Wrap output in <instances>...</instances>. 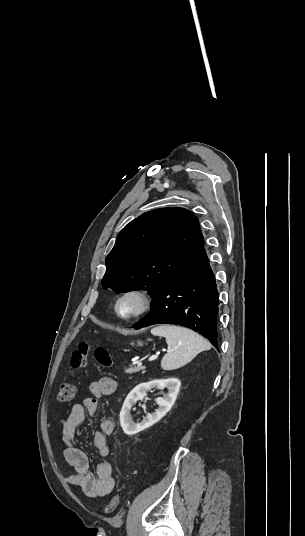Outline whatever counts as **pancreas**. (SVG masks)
I'll return each mask as SVG.
<instances>
[{
  "instance_id": "pancreas-1",
  "label": "pancreas",
  "mask_w": 305,
  "mask_h": 536,
  "mask_svg": "<svg viewBox=\"0 0 305 536\" xmlns=\"http://www.w3.org/2000/svg\"><path fill=\"white\" fill-rule=\"evenodd\" d=\"M141 370H144L143 366L136 368V366H133V364H130L128 368H124V372H126V374H136V372H141Z\"/></svg>"
}]
</instances>
